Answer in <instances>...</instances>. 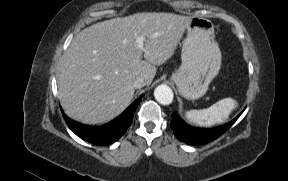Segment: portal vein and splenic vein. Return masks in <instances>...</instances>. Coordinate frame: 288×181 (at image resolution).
<instances>
[{"label":"portal vein and splenic vein","mask_w":288,"mask_h":181,"mask_svg":"<svg viewBox=\"0 0 288 181\" xmlns=\"http://www.w3.org/2000/svg\"><path fill=\"white\" fill-rule=\"evenodd\" d=\"M145 40H146L145 37H138V38L136 39L138 48H139L140 50L143 49V43H144Z\"/></svg>","instance_id":"18ae733b"}]
</instances>
